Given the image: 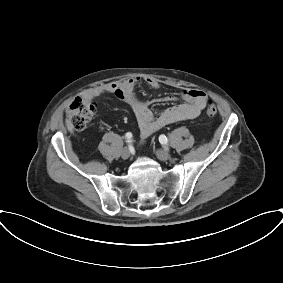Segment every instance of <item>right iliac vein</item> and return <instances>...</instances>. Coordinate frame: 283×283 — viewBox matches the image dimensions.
I'll use <instances>...</instances> for the list:
<instances>
[{
	"mask_svg": "<svg viewBox=\"0 0 283 283\" xmlns=\"http://www.w3.org/2000/svg\"><path fill=\"white\" fill-rule=\"evenodd\" d=\"M121 157L123 159H128L130 157V151L128 150V148H123L121 151Z\"/></svg>",
	"mask_w": 283,
	"mask_h": 283,
	"instance_id": "obj_1",
	"label": "right iliac vein"
}]
</instances>
